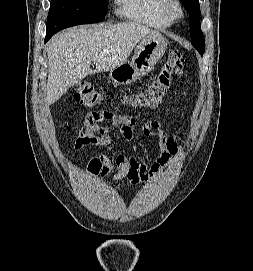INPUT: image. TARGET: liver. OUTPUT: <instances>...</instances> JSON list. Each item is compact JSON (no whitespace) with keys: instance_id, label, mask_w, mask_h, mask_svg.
Listing matches in <instances>:
<instances>
[{"instance_id":"1","label":"liver","mask_w":253,"mask_h":271,"mask_svg":"<svg viewBox=\"0 0 253 271\" xmlns=\"http://www.w3.org/2000/svg\"><path fill=\"white\" fill-rule=\"evenodd\" d=\"M154 34L159 32L137 23L76 26L57 33L46 48L47 103L56 102L86 76L118 67L140 40ZM91 62L95 70L90 68Z\"/></svg>"}]
</instances>
